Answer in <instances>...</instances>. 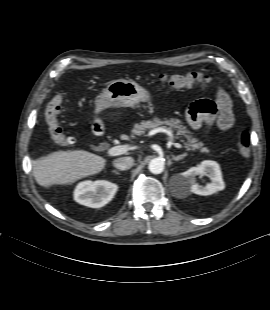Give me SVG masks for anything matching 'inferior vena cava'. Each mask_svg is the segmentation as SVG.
<instances>
[{
  "label": "inferior vena cava",
  "mask_w": 270,
  "mask_h": 310,
  "mask_svg": "<svg viewBox=\"0 0 270 310\" xmlns=\"http://www.w3.org/2000/svg\"><path fill=\"white\" fill-rule=\"evenodd\" d=\"M134 159L132 157H121L113 161V165L118 170H128L133 166Z\"/></svg>",
  "instance_id": "1"
}]
</instances>
